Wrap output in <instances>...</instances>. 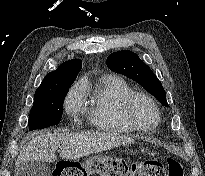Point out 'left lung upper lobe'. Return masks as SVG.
Segmentation results:
<instances>
[{
	"label": "left lung upper lobe",
	"instance_id": "1",
	"mask_svg": "<svg viewBox=\"0 0 205 176\" xmlns=\"http://www.w3.org/2000/svg\"><path fill=\"white\" fill-rule=\"evenodd\" d=\"M108 67L137 81L159 102L168 106L166 92L153 71L132 51L123 50L110 54L107 58Z\"/></svg>",
	"mask_w": 205,
	"mask_h": 176
}]
</instances>
